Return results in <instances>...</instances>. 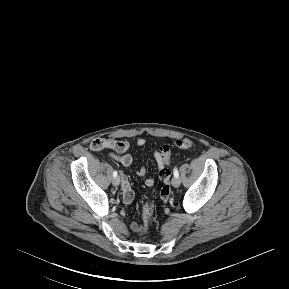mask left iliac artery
<instances>
[{
    "instance_id": "obj_1",
    "label": "left iliac artery",
    "mask_w": 289,
    "mask_h": 289,
    "mask_svg": "<svg viewBox=\"0 0 289 289\" xmlns=\"http://www.w3.org/2000/svg\"><path fill=\"white\" fill-rule=\"evenodd\" d=\"M174 177H179L178 169L175 167L173 170Z\"/></svg>"
}]
</instances>
